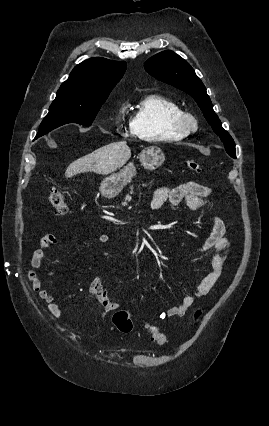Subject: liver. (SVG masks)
<instances>
[{"mask_svg": "<svg viewBox=\"0 0 269 426\" xmlns=\"http://www.w3.org/2000/svg\"><path fill=\"white\" fill-rule=\"evenodd\" d=\"M130 157L131 150L125 141L110 143L70 163L65 176L70 178L85 172L108 175L122 167Z\"/></svg>", "mask_w": 269, "mask_h": 426, "instance_id": "obj_1", "label": "liver"}]
</instances>
